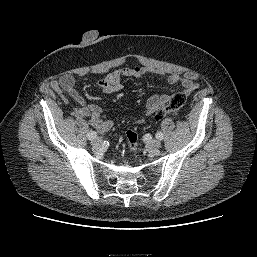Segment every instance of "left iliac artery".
Wrapping results in <instances>:
<instances>
[{"label": "left iliac artery", "mask_w": 257, "mask_h": 257, "mask_svg": "<svg viewBox=\"0 0 257 257\" xmlns=\"http://www.w3.org/2000/svg\"><path fill=\"white\" fill-rule=\"evenodd\" d=\"M156 138L159 139V140H162L163 139V133L162 132H157L156 133Z\"/></svg>", "instance_id": "left-iliac-artery-1"}]
</instances>
